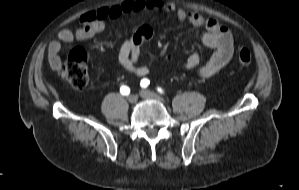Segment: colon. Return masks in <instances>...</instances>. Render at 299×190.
<instances>
[{
	"label": "colon",
	"instance_id": "colon-1",
	"mask_svg": "<svg viewBox=\"0 0 299 190\" xmlns=\"http://www.w3.org/2000/svg\"><path fill=\"white\" fill-rule=\"evenodd\" d=\"M252 61L249 49L241 47L237 50V62L240 67L247 68ZM60 76L75 89L83 90L89 85L86 52L79 47L73 48L67 59L59 68Z\"/></svg>",
	"mask_w": 299,
	"mask_h": 190
}]
</instances>
